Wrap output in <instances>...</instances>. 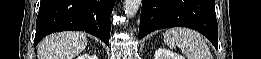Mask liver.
Returning a JSON list of instances; mask_svg holds the SVG:
<instances>
[{
	"label": "liver",
	"mask_w": 261,
	"mask_h": 59,
	"mask_svg": "<svg viewBox=\"0 0 261 59\" xmlns=\"http://www.w3.org/2000/svg\"><path fill=\"white\" fill-rule=\"evenodd\" d=\"M81 32H60L47 36L38 44V59H73L87 46Z\"/></svg>",
	"instance_id": "obj_1"
}]
</instances>
